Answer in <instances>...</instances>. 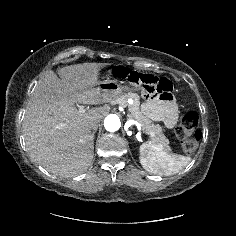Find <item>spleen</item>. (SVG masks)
<instances>
[{"instance_id": "spleen-1", "label": "spleen", "mask_w": 236, "mask_h": 236, "mask_svg": "<svg viewBox=\"0 0 236 236\" xmlns=\"http://www.w3.org/2000/svg\"><path fill=\"white\" fill-rule=\"evenodd\" d=\"M139 159L142 167L158 175L171 176L180 172L191 161V157L171 154L161 145L154 142L143 143L139 148Z\"/></svg>"}]
</instances>
